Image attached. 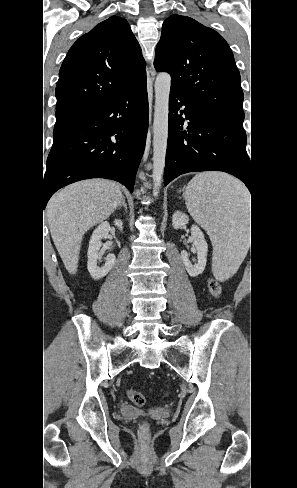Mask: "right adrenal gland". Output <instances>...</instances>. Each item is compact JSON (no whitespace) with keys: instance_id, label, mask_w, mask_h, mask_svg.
Here are the masks:
<instances>
[{"instance_id":"right-adrenal-gland-1","label":"right adrenal gland","mask_w":297,"mask_h":488,"mask_svg":"<svg viewBox=\"0 0 297 488\" xmlns=\"http://www.w3.org/2000/svg\"><path fill=\"white\" fill-rule=\"evenodd\" d=\"M124 207L125 211L127 212V204L125 202V198L123 197L122 203L118 206V209Z\"/></svg>"}]
</instances>
